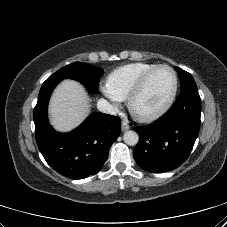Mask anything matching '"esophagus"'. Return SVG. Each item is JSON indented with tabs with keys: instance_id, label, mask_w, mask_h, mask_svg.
<instances>
[{
	"instance_id": "34e87169",
	"label": "esophagus",
	"mask_w": 227,
	"mask_h": 227,
	"mask_svg": "<svg viewBox=\"0 0 227 227\" xmlns=\"http://www.w3.org/2000/svg\"><path fill=\"white\" fill-rule=\"evenodd\" d=\"M121 129H122V131H127L130 129V125L127 122L123 121L121 123Z\"/></svg>"
}]
</instances>
